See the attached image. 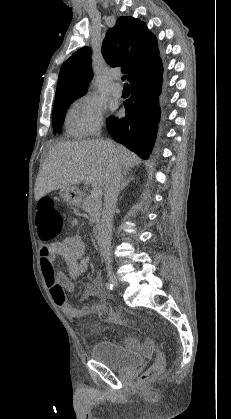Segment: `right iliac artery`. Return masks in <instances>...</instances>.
Listing matches in <instances>:
<instances>
[{"mask_svg": "<svg viewBox=\"0 0 231 419\" xmlns=\"http://www.w3.org/2000/svg\"><path fill=\"white\" fill-rule=\"evenodd\" d=\"M105 287H106L108 290H112V289H113V284H112V283H110V282H107V283L105 284Z\"/></svg>", "mask_w": 231, "mask_h": 419, "instance_id": "obj_1", "label": "right iliac artery"}]
</instances>
